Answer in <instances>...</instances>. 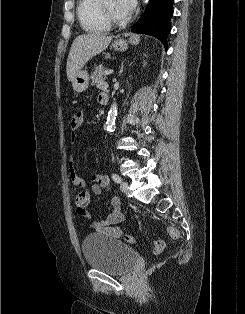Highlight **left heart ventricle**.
<instances>
[{
  "instance_id": "1",
  "label": "left heart ventricle",
  "mask_w": 245,
  "mask_h": 314,
  "mask_svg": "<svg viewBox=\"0 0 245 314\" xmlns=\"http://www.w3.org/2000/svg\"><path fill=\"white\" fill-rule=\"evenodd\" d=\"M103 6L106 12L115 19H122L128 15L118 7L116 0H103Z\"/></svg>"
}]
</instances>
